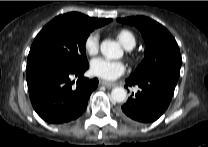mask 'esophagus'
I'll list each match as a JSON object with an SVG mask.
<instances>
[{
  "instance_id": "esophagus-1",
  "label": "esophagus",
  "mask_w": 208,
  "mask_h": 147,
  "mask_svg": "<svg viewBox=\"0 0 208 147\" xmlns=\"http://www.w3.org/2000/svg\"><path fill=\"white\" fill-rule=\"evenodd\" d=\"M100 84L104 85V86H106L108 88H113V87H115L117 85L116 83H112V82H108V81H104V80H101Z\"/></svg>"
}]
</instances>
